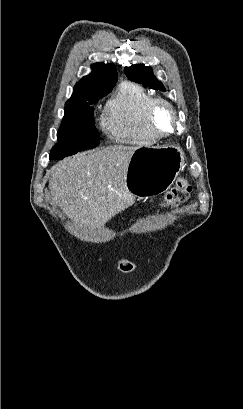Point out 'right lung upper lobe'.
Returning <instances> with one entry per match:
<instances>
[{
    "mask_svg": "<svg viewBox=\"0 0 243 409\" xmlns=\"http://www.w3.org/2000/svg\"><path fill=\"white\" fill-rule=\"evenodd\" d=\"M91 68L93 72L75 85L71 98L65 104L66 108L91 106L114 87L117 72L113 64L95 63Z\"/></svg>",
    "mask_w": 243,
    "mask_h": 409,
    "instance_id": "1",
    "label": "right lung upper lobe"
}]
</instances>
